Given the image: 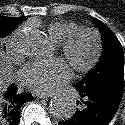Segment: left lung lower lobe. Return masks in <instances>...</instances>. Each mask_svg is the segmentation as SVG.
Returning a JSON list of instances; mask_svg holds the SVG:
<instances>
[{
  "label": "left lung lower lobe",
  "mask_w": 125,
  "mask_h": 125,
  "mask_svg": "<svg viewBox=\"0 0 125 125\" xmlns=\"http://www.w3.org/2000/svg\"><path fill=\"white\" fill-rule=\"evenodd\" d=\"M80 95V108L59 125H108L121 102L124 86L117 85L84 92L75 84Z\"/></svg>",
  "instance_id": "left-lung-lower-lobe-1"
}]
</instances>
